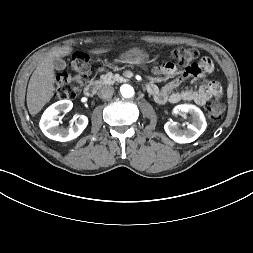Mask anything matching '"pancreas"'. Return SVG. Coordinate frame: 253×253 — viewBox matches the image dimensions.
Wrapping results in <instances>:
<instances>
[{
    "mask_svg": "<svg viewBox=\"0 0 253 253\" xmlns=\"http://www.w3.org/2000/svg\"><path fill=\"white\" fill-rule=\"evenodd\" d=\"M117 79H120V77H115L112 75H103L101 76V79L99 81L100 84H113Z\"/></svg>",
    "mask_w": 253,
    "mask_h": 253,
    "instance_id": "cf45deb5",
    "label": "pancreas"
}]
</instances>
